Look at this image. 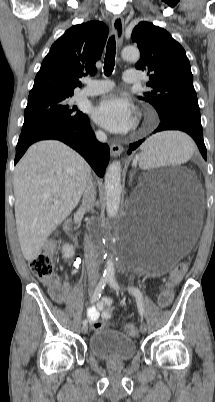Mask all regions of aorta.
<instances>
[{"instance_id":"obj_1","label":"aorta","mask_w":215,"mask_h":402,"mask_svg":"<svg viewBox=\"0 0 215 402\" xmlns=\"http://www.w3.org/2000/svg\"><path fill=\"white\" fill-rule=\"evenodd\" d=\"M121 55L124 60L132 62H136L140 58L138 48L133 46L123 48ZM121 190V165L119 161H114L109 165L105 173V196L109 217H114L118 214ZM102 256L106 258L104 276L105 278H113L115 274L113 256L105 252Z\"/></svg>"}]
</instances>
